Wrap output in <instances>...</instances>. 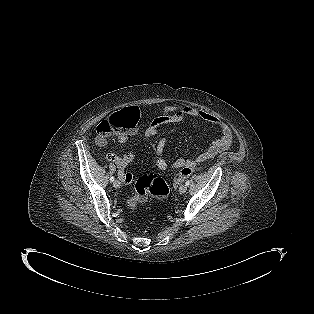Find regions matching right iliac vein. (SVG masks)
Wrapping results in <instances>:
<instances>
[{
    "label": "right iliac vein",
    "mask_w": 314,
    "mask_h": 314,
    "mask_svg": "<svg viewBox=\"0 0 314 314\" xmlns=\"http://www.w3.org/2000/svg\"><path fill=\"white\" fill-rule=\"evenodd\" d=\"M120 185H121V183H120L119 180H115V181L113 182V186H114L115 188H119Z\"/></svg>",
    "instance_id": "right-iliac-vein-1"
}]
</instances>
